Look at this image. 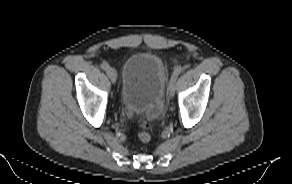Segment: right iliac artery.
<instances>
[{
	"instance_id": "1",
	"label": "right iliac artery",
	"mask_w": 292,
	"mask_h": 184,
	"mask_svg": "<svg viewBox=\"0 0 292 184\" xmlns=\"http://www.w3.org/2000/svg\"><path fill=\"white\" fill-rule=\"evenodd\" d=\"M100 66L103 70H108L110 68L107 62H102Z\"/></svg>"
}]
</instances>
